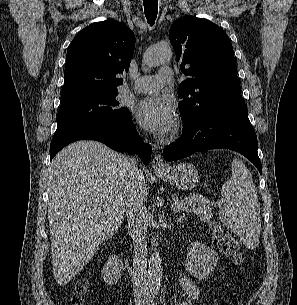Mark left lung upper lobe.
<instances>
[{
    "instance_id": "1",
    "label": "left lung upper lobe",
    "mask_w": 297,
    "mask_h": 305,
    "mask_svg": "<svg viewBox=\"0 0 297 305\" xmlns=\"http://www.w3.org/2000/svg\"><path fill=\"white\" fill-rule=\"evenodd\" d=\"M169 39L181 71L190 76L178 89L183 119L241 94L232 44L219 26L207 19L185 16L172 24Z\"/></svg>"
}]
</instances>
